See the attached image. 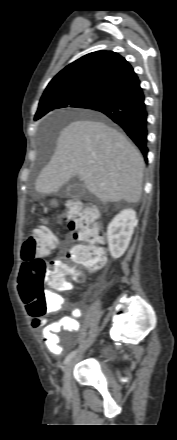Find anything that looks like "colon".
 Segmentation results:
<instances>
[{
    "label": "colon",
    "instance_id": "obj_1",
    "mask_svg": "<svg viewBox=\"0 0 177 440\" xmlns=\"http://www.w3.org/2000/svg\"><path fill=\"white\" fill-rule=\"evenodd\" d=\"M63 218L72 233L74 245L66 251V260L47 261L43 254L54 249L56 237L44 225L33 228L26 236L21 258L24 264L19 279V292L32 317H41L47 309L44 286L49 283L57 289H66L69 278L83 279L80 267L96 270L104 264L105 250L101 245L105 234L97 222L98 212L94 207H83L78 201L66 205Z\"/></svg>",
    "mask_w": 177,
    "mask_h": 440
}]
</instances>
